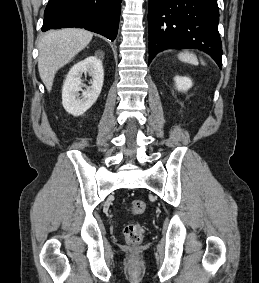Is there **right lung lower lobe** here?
Instances as JSON below:
<instances>
[{
  "label": "right lung lower lobe",
  "instance_id": "right-lung-lower-lobe-1",
  "mask_svg": "<svg viewBox=\"0 0 259 283\" xmlns=\"http://www.w3.org/2000/svg\"><path fill=\"white\" fill-rule=\"evenodd\" d=\"M122 0H49L42 31L84 28L111 41L117 36Z\"/></svg>",
  "mask_w": 259,
  "mask_h": 283
}]
</instances>
